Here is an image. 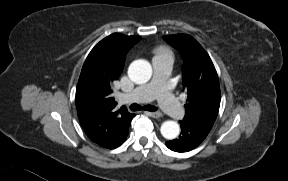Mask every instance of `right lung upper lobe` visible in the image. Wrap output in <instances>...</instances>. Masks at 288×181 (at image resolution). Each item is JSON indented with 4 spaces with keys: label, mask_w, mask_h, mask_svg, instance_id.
<instances>
[{
    "label": "right lung upper lobe",
    "mask_w": 288,
    "mask_h": 181,
    "mask_svg": "<svg viewBox=\"0 0 288 181\" xmlns=\"http://www.w3.org/2000/svg\"><path fill=\"white\" fill-rule=\"evenodd\" d=\"M140 36L114 33L101 40L89 53L76 88V108L88 137L106 147L119 146L128 135L134 114L125 107L115 109L112 83L121 75L128 50Z\"/></svg>",
    "instance_id": "obj_1"
}]
</instances>
